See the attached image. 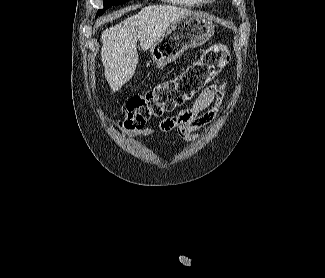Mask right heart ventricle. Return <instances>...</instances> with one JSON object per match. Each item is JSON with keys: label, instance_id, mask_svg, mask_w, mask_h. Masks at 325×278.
<instances>
[{"label": "right heart ventricle", "instance_id": "obj_1", "mask_svg": "<svg viewBox=\"0 0 325 278\" xmlns=\"http://www.w3.org/2000/svg\"><path fill=\"white\" fill-rule=\"evenodd\" d=\"M169 3L183 6V7H200L207 2V0H165Z\"/></svg>", "mask_w": 325, "mask_h": 278}]
</instances>
